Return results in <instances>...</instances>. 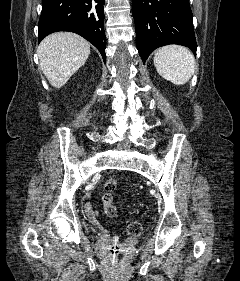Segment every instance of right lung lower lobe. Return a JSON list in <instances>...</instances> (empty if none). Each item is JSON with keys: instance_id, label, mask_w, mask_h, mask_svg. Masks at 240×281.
<instances>
[{"instance_id": "98d812e1", "label": "right lung lower lobe", "mask_w": 240, "mask_h": 281, "mask_svg": "<svg viewBox=\"0 0 240 281\" xmlns=\"http://www.w3.org/2000/svg\"><path fill=\"white\" fill-rule=\"evenodd\" d=\"M105 0H43L38 42L53 32L70 31L91 42L106 60Z\"/></svg>"}]
</instances>
